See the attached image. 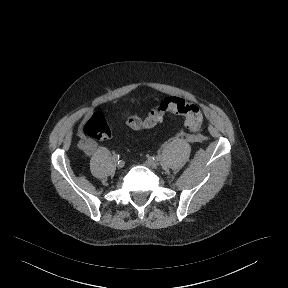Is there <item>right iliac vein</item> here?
<instances>
[{"label":"right iliac vein","mask_w":288,"mask_h":288,"mask_svg":"<svg viewBox=\"0 0 288 288\" xmlns=\"http://www.w3.org/2000/svg\"><path fill=\"white\" fill-rule=\"evenodd\" d=\"M117 168H122L124 166V163L122 161L113 160Z\"/></svg>","instance_id":"right-iliac-vein-1"}]
</instances>
